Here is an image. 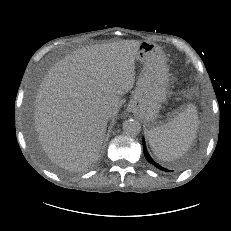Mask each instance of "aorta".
I'll use <instances>...</instances> for the list:
<instances>
[{"instance_id":"1","label":"aorta","mask_w":231,"mask_h":231,"mask_svg":"<svg viewBox=\"0 0 231 231\" xmlns=\"http://www.w3.org/2000/svg\"><path fill=\"white\" fill-rule=\"evenodd\" d=\"M123 131L127 136H137L141 131V125L139 121L135 119H128L123 122Z\"/></svg>"}]
</instances>
